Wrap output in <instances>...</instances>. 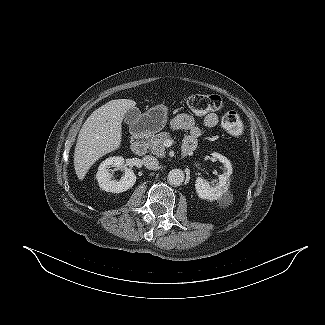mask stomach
<instances>
[{
  "label": "stomach",
  "instance_id": "obj_1",
  "mask_svg": "<svg viewBox=\"0 0 325 325\" xmlns=\"http://www.w3.org/2000/svg\"><path fill=\"white\" fill-rule=\"evenodd\" d=\"M167 109L162 105L155 106L142 114L135 122V133L154 134L164 128L167 123Z\"/></svg>",
  "mask_w": 325,
  "mask_h": 325
}]
</instances>
